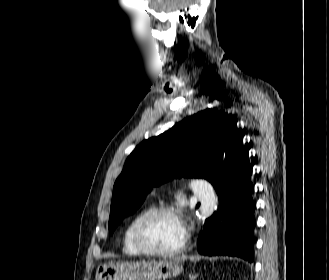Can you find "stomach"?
I'll list each match as a JSON object with an SVG mask.
<instances>
[{"label": "stomach", "instance_id": "1", "mask_svg": "<svg viewBox=\"0 0 329 280\" xmlns=\"http://www.w3.org/2000/svg\"><path fill=\"white\" fill-rule=\"evenodd\" d=\"M180 259L168 261H111L99 265L95 280H166L183 272Z\"/></svg>", "mask_w": 329, "mask_h": 280}]
</instances>
